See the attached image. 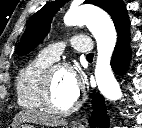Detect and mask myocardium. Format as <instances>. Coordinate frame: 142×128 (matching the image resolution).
Masks as SVG:
<instances>
[{"label": "myocardium", "instance_id": "obj_1", "mask_svg": "<svg viewBox=\"0 0 142 128\" xmlns=\"http://www.w3.org/2000/svg\"><path fill=\"white\" fill-rule=\"evenodd\" d=\"M57 69H65L68 70L69 67L67 64H56L51 65L45 73L44 81H43V88H42V102L47 111H49L52 114L65 116L73 113L76 111L82 104V97L81 94L78 92L77 98L74 101V103L66 108L61 109L58 108L53 101V95H52V82H53V75L54 72Z\"/></svg>", "mask_w": 142, "mask_h": 128}]
</instances>
